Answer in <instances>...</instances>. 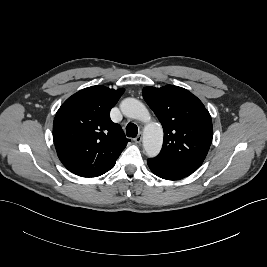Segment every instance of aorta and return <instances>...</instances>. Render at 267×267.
<instances>
[{
    "label": "aorta",
    "mask_w": 267,
    "mask_h": 267,
    "mask_svg": "<svg viewBox=\"0 0 267 267\" xmlns=\"http://www.w3.org/2000/svg\"><path fill=\"white\" fill-rule=\"evenodd\" d=\"M120 109L124 116L146 123L143 134V147L148 157L157 156L163 143L161 124L151 121L145 105L135 98L124 99L120 104Z\"/></svg>",
    "instance_id": "762f6f07"
}]
</instances>
